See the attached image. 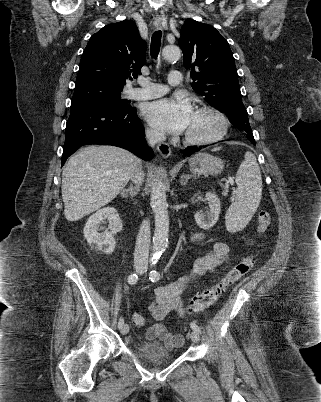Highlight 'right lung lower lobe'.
<instances>
[{
	"mask_svg": "<svg viewBox=\"0 0 321 402\" xmlns=\"http://www.w3.org/2000/svg\"><path fill=\"white\" fill-rule=\"evenodd\" d=\"M88 144L114 145L151 160L154 153L145 142V131L136 109L109 110L96 106L71 108L66 123L62 166L78 148Z\"/></svg>",
	"mask_w": 321,
	"mask_h": 402,
	"instance_id": "right-lung-lower-lobe-1",
	"label": "right lung lower lobe"
}]
</instances>
